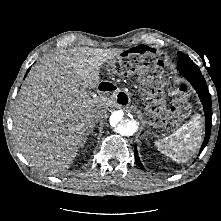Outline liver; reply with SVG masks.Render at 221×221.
Returning <instances> with one entry per match:
<instances>
[{
	"mask_svg": "<svg viewBox=\"0 0 221 221\" xmlns=\"http://www.w3.org/2000/svg\"><path fill=\"white\" fill-rule=\"evenodd\" d=\"M122 49L78 47L46 55L29 72L14 111V137L20 152L43 169L69 168L86 133L106 117L114 102L90 97L97 88L102 65Z\"/></svg>",
	"mask_w": 221,
	"mask_h": 221,
	"instance_id": "liver-1",
	"label": "liver"
}]
</instances>
